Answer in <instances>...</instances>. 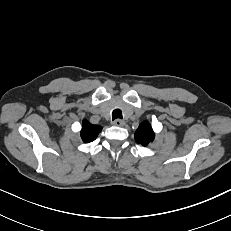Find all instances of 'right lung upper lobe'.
<instances>
[{
	"instance_id": "cb5924a9",
	"label": "right lung upper lobe",
	"mask_w": 231,
	"mask_h": 231,
	"mask_svg": "<svg viewBox=\"0 0 231 231\" xmlns=\"http://www.w3.org/2000/svg\"><path fill=\"white\" fill-rule=\"evenodd\" d=\"M101 130L102 127L98 125H92L87 120H84L81 130V138L84 142H91L96 139Z\"/></svg>"
}]
</instances>
